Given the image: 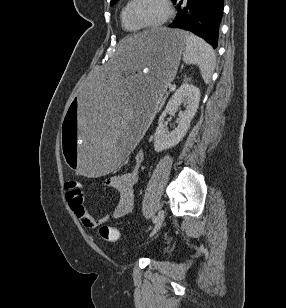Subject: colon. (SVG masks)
Instances as JSON below:
<instances>
[{
	"instance_id": "colon-1",
	"label": "colon",
	"mask_w": 286,
	"mask_h": 308,
	"mask_svg": "<svg viewBox=\"0 0 286 308\" xmlns=\"http://www.w3.org/2000/svg\"><path fill=\"white\" fill-rule=\"evenodd\" d=\"M80 183L76 180H70L66 183L67 190H78ZM100 235L105 241H116L119 237V232L116 228L103 226L100 228Z\"/></svg>"
}]
</instances>
